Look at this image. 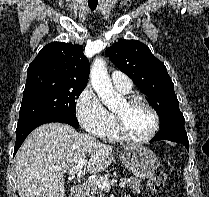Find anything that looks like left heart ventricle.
Segmentation results:
<instances>
[{
	"mask_svg": "<svg viewBox=\"0 0 209 197\" xmlns=\"http://www.w3.org/2000/svg\"><path fill=\"white\" fill-rule=\"evenodd\" d=\"M114 113L120 116L126 132L133 138L147 136L153 126V116L142 103L127 105L122 101Z\"/></svg>",
	"mask_w": 209,
	"mask_h": 197,
	"instance_id": "obj_1",
	"label": "left heart ventricle"
}]
</instances>
